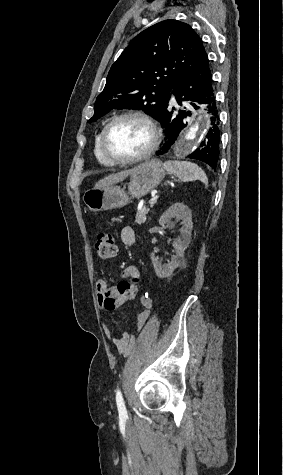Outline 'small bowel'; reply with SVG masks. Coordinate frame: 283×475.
<instances>
[{"label":"small bowel","instance_id":"small-bowel-1","mask_svg":"<svg viewBox=\"0 0 283 475\" xmlns=\"http://www.w3.org/2000/svg\"><path fill=\"white\" fill-rule=\"evenodd\" d=\"M121 242L125 246H133L136 242V235L131 226H124L121 229L120 233ZM129 274H139L138 269L135 266H128L122 272V277L128 279ZM103 293H117V285L109 286L104 280L100 279L96 282L95 285V296L96 301L101 310H106V307H102V297ZM136 297V296H135ZM142 309L137 313L135 320V329L139 331L144 324L146 323L149 315L150 309L152 307V299L149 295H142L141 297ZM103 332L106 338L114 344L118 353L121 356H127L134 345V334L129 332H124L121 335L115 336L112 330L107 326L103 325Z\"/></svg>","mask_w":283,"mask_h":475}]
</instances>
